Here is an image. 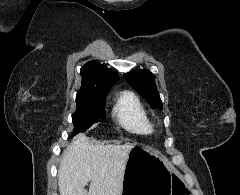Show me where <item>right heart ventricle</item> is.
<instances>
[{"label":"right heart ventricle","instance_id":"obj_1","mask_svg":"<svg viewBox=\"0 0 240 195\" xmlns=\"http://www.w3.org/2000/svg\"><path fill=\"white\" fill-rule=\"evenodd\" d=\"M112 116L126 130L140 134L151 131L148 112L140 98L133 93H124L117 99Z\"/></svg>","mask_w":240,"mask_h":195}]
</instances>
